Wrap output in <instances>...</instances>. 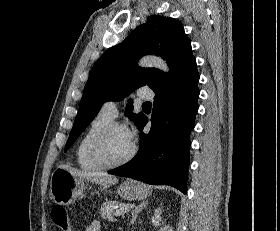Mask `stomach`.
Masks as SVG:
<instances>
[{"mask_svg":"<svg viewBox=\"0 0 280 231\" xmlns=\"http://www.w3.org/2000/svg\"><path fill=\"white\" fill-rule=\"evenodd\" d=\"M88 179L85 177H76L72 175L68 169L64 167H57L53 171L50 179V195L55 203H72L74 199L80 197L87 189ZM118 195L124 197V199H145L150 195L151 191L146 189L142 183L137 181H123L117 189Z\"/></svg>","mask_w":280,"mask_h":231,"instance_id":"obj_1","label":"stomach"}]
</instances>
